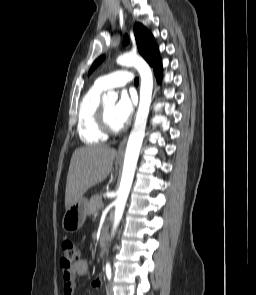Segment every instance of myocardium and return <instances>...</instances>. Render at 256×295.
Here are the masks:
<instances>
[{
	"label": "myocardium",
	"mask_w": 256,
	"mask_h": 295,
	"mask_svg": "<svg viewBox=\"0 0 256 295\" xmlns=\"http://www.w3.org/2000/svg\"><path fill=\"white\" fill-rule=\"evenodd\" d=\"M97 120L100 130L105 135H116L119 134L122 128H114L108 121L107 113L104 104H100L98 113H97Z\"/></svg>",
	"instance_id": "myocardium-1"
}]
</instances>
